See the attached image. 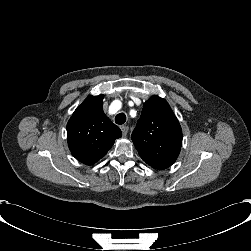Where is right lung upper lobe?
<instances>
[{"mask_svg": "<svg viewBox=\"0 0 251 251\" xmlns=\"http://www.w3.org/2000/svg\"><path fill=\"white\" fill-rule=\"evenodd\" d=\"M103 95L88 96L67 124L68 146L80 162L92 165L112 147L122 132L104 114Z\"/></svg>", "mask_w": 251, "mask_h": 251, "instance_id": "obj_1", "label": "right lung upper lobe"}]
</instances>
